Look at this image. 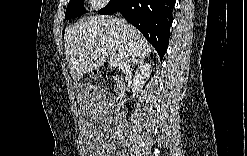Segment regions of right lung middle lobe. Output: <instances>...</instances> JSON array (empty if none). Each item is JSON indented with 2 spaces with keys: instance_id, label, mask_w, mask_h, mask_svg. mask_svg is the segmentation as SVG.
<instances>
[{
  "instance_id": "right-lung-middle-lobe-1",
  "label": "right lung middle lobe",
  "mask_w": 247,
  "mask_h": 156,
  "mask_svg": "<svg viewBox=\"0 0 247 156\" xmlns=\"http://www.w3.org/2000/svg\"><path fill=\"white\" fill-rule=\"evenodd\" d=\"M85 13L83 0H70L65 13V19H71Z\"/></svg>"
}]
</instances>
